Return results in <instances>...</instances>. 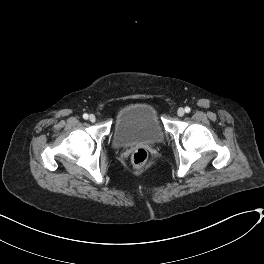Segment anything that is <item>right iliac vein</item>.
Listing matches in <instances>:
<instances>
[{
	"label": "right iliac vein",
	"mask_w": 264,
	"mask_h": 264,
	"mask_svg": "<svg viewBox=\"0 0 264 264\" xmlns=\"http://www.w3.org/2000/svg\"><path fill=\"white\" fill-rule=\"evenodd\" d=\"M89 120H90L91 122H95V121H96V117H95V115L91 114V115L89 116Z\"/></svg>",
	"instance_id": "obj_1"
}]
</instances>
